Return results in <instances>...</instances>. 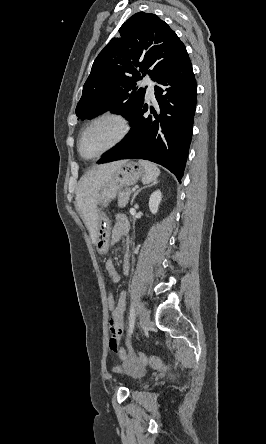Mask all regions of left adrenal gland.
<instances>
[{"mask_svg":"<svg viewBox=\"0 0 266 444\" xmlns=\"http://www.w3.org/2000/svg\"><path fill=\"white\" fill-rule=\"evenodd\" d=\"M156 184H158V181L155 180L152 184L147 185V186H144V187L140 188L139 190H137V191L134 193L133 197H132L131 205L133 204L134 199L136 198V196L138 195V193H139L140 191H142V190L145 189V188H148V187H151V186H153V185H156Z\"/></svg>","mask_w":266,"mask_h":444,"instance_id":"a2214340","label":"left adrenal gland"}]
</instances>
